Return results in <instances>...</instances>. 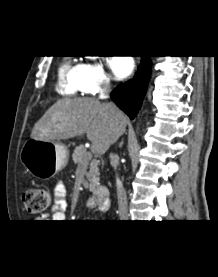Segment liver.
Instances as JSON below:
<instances>
[{
	"label": "liver",
	"mask_w": 218,
	"mask_h": 277,
	"mask_svg": "<svg viewBox=\"0 0 218 277\" xmlns=\"http://www.w3.org/2000/svg\"><path fill=\"white\" fill-rule=\"evenodd\" d=\"M127 118L92 98L60 99L34 125L31 138L43 141L66 140L87 134L92 149L104 154L125 132Z\"/></svg>",
	"instance_id": "6515ba94"
}]
</instances>
